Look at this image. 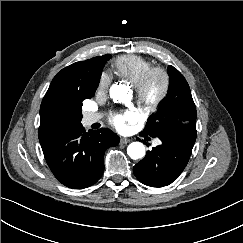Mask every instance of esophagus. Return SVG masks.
I'll return each instance as SVG.
<instances>
[{"instance_id": "34e87169", "label": "esophagus", "mask_w": 243, "mask_h": 243, "mask_svg": "<svg viewBox=\"0 0 243 243\" xmlns=\"http://www.w3.org/2000/svg\"><path fill=\"white\" fill-rule=\"evenodd\" d=\"M131 140L130 139H128V138H121L120 139V144H127V143H129Z\"/></svg>"}]
</instances>
